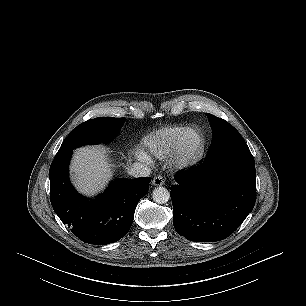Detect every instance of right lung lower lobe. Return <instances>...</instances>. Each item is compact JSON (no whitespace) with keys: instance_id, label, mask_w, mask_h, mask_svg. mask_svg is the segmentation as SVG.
<instances>
[{"instance_id":"right-lung-lower-lobe-1","label":"right lung lower lobe","mask_w":306,"mask_h":306,"mask_svg":"<svg viewBox=\"0 0 306 306\" xmlns=\"http://www.w3.org/2000/svg\"><path fill=\"white\" fill-rule=\"evenodd\" d=\"M72 151L55 157L49 170L50 200L55 213L72 233L88 244H109L129 231L150 177L116 179L95 199L78 194L68 175Z\"/></svg>"}]
</instances>
